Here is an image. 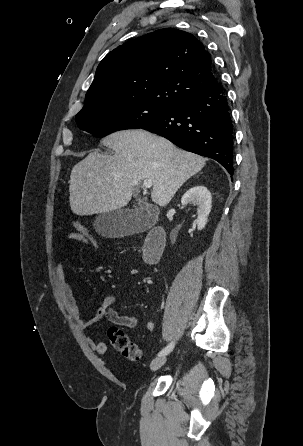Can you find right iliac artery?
Masks as SVG:
<instances>
[{
	"mask_svg": "<svg viewBox=\"0 0 303 446\" xmlns=\"http://www.w3.org/2000/svg\"><path fill=\"white\" fill-rule=\"evenodd\" d=\"M173 348H174V343L171 342L169 345H167L165 348H163L158 353V356H165V355L169 354L172 351Z\"/></svg>",
	"mask_w": 303,
	"mask_h": 446,
	"instance_id": "obj_1",
	"label": "right iliac artery"
}]
</instances>
